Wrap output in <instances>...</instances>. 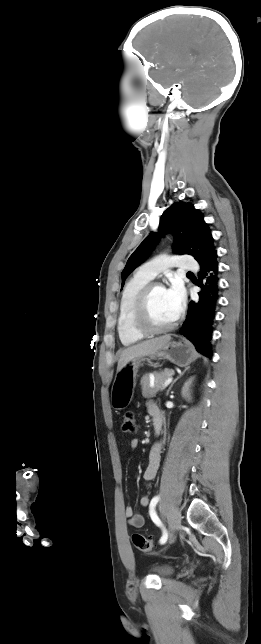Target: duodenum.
<instances>
[{
  "mask_svg": "<svg viewBox=\"0 0 261 644\" xmlns=\"http://www.w3.org/2000/svg\"><path fill=\"white\" fill-rule=\"evenodd\" d=\"M153 423H154L155 434L159 435L163 425L162 417L159 415H155L153 418Z\"/></svg>",
  "mask_w": 261,
  "mask_h": 644,
  "instance_id": "obj_1",
  "label": "duodenum"
}]
</instances>
